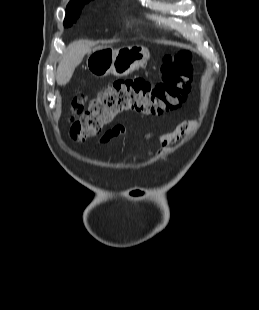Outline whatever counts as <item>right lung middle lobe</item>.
I'll use <instances>...</instances> for the list:
<instances>
[{
    "instance_id": "right-lung-middle-lobe-1",
    "label": "right lung middle lobe",
    "mask_w": 259,
    "mask_h": 310,
    "mask_svg": "<svg viewBox=\"0 0 259 310\" xmlns=\"http://www.w3.org/2000/svg\"><path fill=\"white\" fill-rule=\"evenodd\" d=\"M88 2L89 1L82 2L72 9L66 8L67 10H66V16H65V20H64V26L65 27H70L73 23L76 22V20L79 18L80 14H81V10H82L83 6Z\"/></svg>"
}]
</instances>
